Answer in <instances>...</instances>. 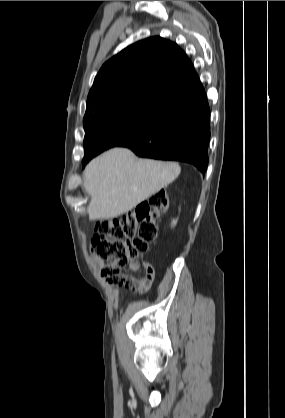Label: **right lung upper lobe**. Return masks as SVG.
Wrapping results in <instances>:
<instances>
[{
	"label": "right lung upper lobe",
	"mask_w": 285,
	"mask_h": 418,
	"mask_svg": "<svg viewBox=\"0 0 285 418\" xmlns=\"http://www.w3.org/2000/svg\"><path fill=\"white\" fill-rule=\"evenodd\" d=\"M203 89L185 52L176 43L151 37L128 46L102 66L88 94L85 116L133 100L171 107Z\"/></svg>",
	"instance_id": "1"
}]
</instances>
